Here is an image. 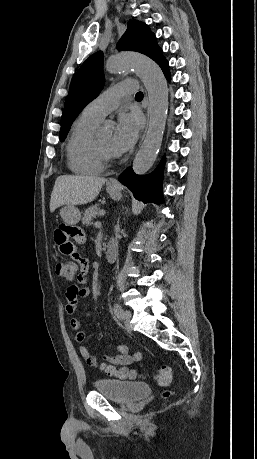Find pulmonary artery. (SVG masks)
<instances>
[{"mask_svg":"<svg viewBox=\"0 0 257 459\" xmlns=\"http://www.w3.org/2000/svg\"><path fill=\"white\" fill-rule=\"evenodd\" d=\"M134 80H123L101 93L90 102L83 113L98 120H102L107 114L115 110L122 97L129 96L135 92Z\"/></svg>","mask_w":257,"mask_h":459,"instance_id":"obj_1","label":"pulmonary artery"}]
</instances>
